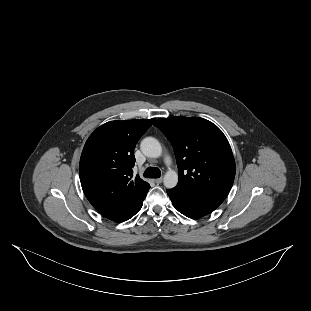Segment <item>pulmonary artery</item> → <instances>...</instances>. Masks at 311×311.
Here are the masks:
<instances>
[{
  "label": "pulmonary artery",
  "instance_id": "pulmonary-artery-1",
  "mask_svg": "<svg viewBox=\"0 0 311 311\" xmlns=\"http://www.w3.org/2000/svg\"><path fill=\"white\" fill-rule=\"evenodd\" d=\"M164 161H165L167 164H169V163L171 162L170 157H169V156H166V157L164 158Z\"/></svg>",
  "mask_w": 311,
  "mask_h": 311
}]
</instances>
